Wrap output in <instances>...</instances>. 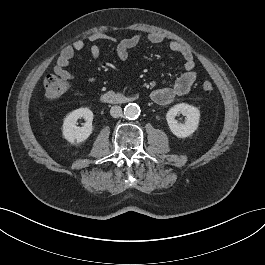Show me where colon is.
Listing matches in <instances>:
<instances>
[{
    "label": "colon",
    "instance_id": "colon-1",
    "mask_svg": "<svg viewBox=\"0 0 265 265\" xmlns=\"http://www.w3.org/2000/svg\"><path fill=\"white\" fill-rule=\"evenodd\" d=\"M204 92H212L214 89L210 81H203L200 85ZM44 90L47 99L57 100L67 91V84L60 78L54 75H49L44 80Z\"/></svg>",
    "mask_w": 265,
    "mask_h": 265
}]
</instances>
